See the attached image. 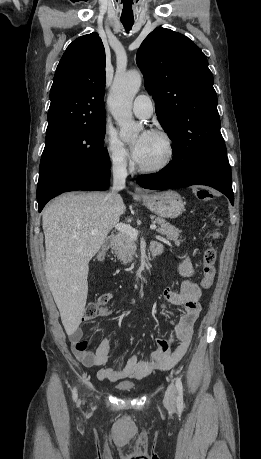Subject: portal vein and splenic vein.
Instances as JSON below:
<instances>
[{"label":"portal vein and splenic vein","instance_id":"1","mask_svg":"<svg viewBox=\"0 0 261 459\" xmlns=\"http://www.w3.org/2000/svg\"><path fill=\"white\" fill-rule=\"evenodd\" d=\"M150 228L152 230H155L157 228V226L153 223V224H151ZM115 229L120 231V232L128 234L131 238H137V236H138V230L133 228V227H131L128 224L117 223L115 225ZM91 233L95 234L96 230H92Z\"/></svg>","mask_w":261,"mask_h":459}]
</instances>
